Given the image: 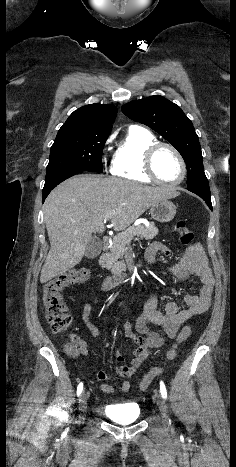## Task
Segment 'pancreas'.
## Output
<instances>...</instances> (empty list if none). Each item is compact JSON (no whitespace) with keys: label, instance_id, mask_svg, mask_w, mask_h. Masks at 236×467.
Wrapping results in <instances>:
<instances>
[{"label":"pancreas","instance_id":"1","mask_svg":"<svg viewBox=\"0 0 236 467\" xmlns=\"http://www.w3.org/2000/svg\"><path fill=\"white\" fill-rule=\"evenodd\" d=\"M158 234V228L153 222L149 223L146 228L144 225L132 226L127 228L124 232L114 236L110 253L103 256L102 266L110 270L114 275H120L126 270V264L122 259L123 255L129 248L134 236H140L146 240L153 239Z\"/></svg>","mask_w":236,"mask_h":467}]
</instances>
